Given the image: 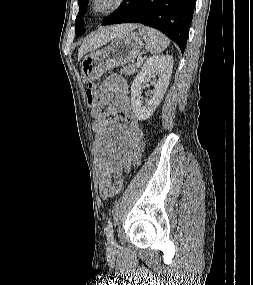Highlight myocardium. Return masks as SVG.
I'll list each match as a JSON object with an SVG mask.
<instances>
[{
    "mask_svg": "<svg viewBox=\"0 0 253 285\" xmlns=\"http://www.w3.org/2000/svg\"><path fill=\"white\" fill-rule=\"evenodd\" d=\"M102 0H89L88 10L94 16H103L119 10L126 0H110L109 3L101 5Z\"/></svg>",
    "mask_w": 253,
    "mask_h": 285,
    "instance_id": "1",
    "label": "myocardium"
}]
</instances>
